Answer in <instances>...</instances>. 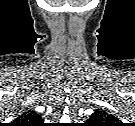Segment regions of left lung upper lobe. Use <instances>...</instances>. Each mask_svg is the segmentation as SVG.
<instances>
[{"label": "left lung upper lobe", "instance_id": "obj_1", "mask_svg": "<svg viewBox=\"0 0 135 126\" xmlns=\"http://www.w3.org/2000/svg\"><path fill=\"white\" fill-rule=\"evenodd\" d=\"M89 121L97 123L99 126H110L112 125V122L116 121V118L102 110H96L90 117Z\"/></svg>", "mask_w": 135, "mask_h": 126}]
</instances>
